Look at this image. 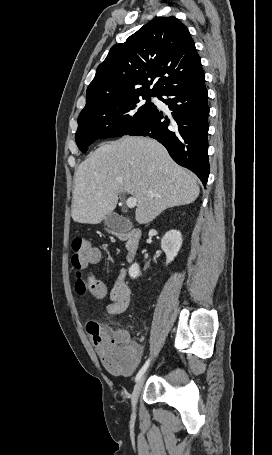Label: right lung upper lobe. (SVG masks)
Wrapping results in <instances>:
<instances>
[{"mask_svg":"<svg viewBox=\"0 0 272 455\" xmlns=\"http://www.w3.org/2000/svg\"><path fill=\"white\" fill-rule=\"evenodd\" d=\"M202 72L187 27L174 16L159 17L110 49L87 88L81 113L130 96L160 95Z\"/></svg>","mask_w":272,"mask_h":455,"instance_id":"1","label":"right lung upper lobe"}]
</instances>
